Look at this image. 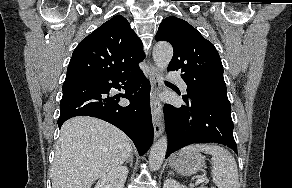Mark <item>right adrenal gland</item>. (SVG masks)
Segmentation results:
<instances>
[{
    "label": "right adrenal gland",
    "mask_w": 292,
    "mask_h": 188,
    "mask_svg": "<svg viewBox=\"0 0 292 188\" xmlns=\"http://www.w3.org/2000/svg\"><path fill=\"white\" fill-rule=\"evenodd\" d=\"M126 163H130V167L133 165V154L130 155V157L125 161Z\"/></svg>",
    "instance_id": "right-adrenal-gland-1"
}]
</instances>
